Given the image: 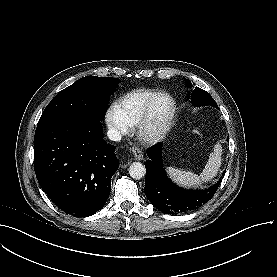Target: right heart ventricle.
Here are the masks:
<instances>
[{
  "mask_svg": "<svg viewBox=\"0 0 277 277\" xmlns=\"http://www.w3.org/2000/svg\"><path fill=\"white\" fill-rule=\"evenodd\" d=\"M153 94L154 91L152 90L138 89L128 93L116 102L115 107L128 126L132 127L138 124Z\"/></svg>",
  "mask_w": 277,
  "mask_h": 277,
  "instance_id": "e07e8e85",
  "label": "right heart ventricle"
}]
</instances>
